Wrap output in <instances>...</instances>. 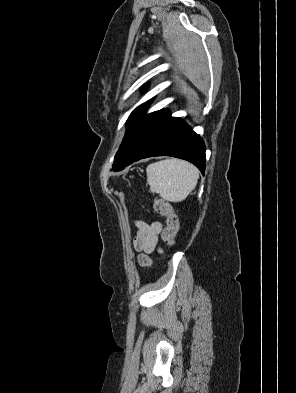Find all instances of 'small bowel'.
<instances>
[{"mask_svg":"<svg viewBox=\"0 0 296 393\" xmlns=\"http://www.w3.org/2000/svg\"><path fill=\"white\" fill-rule=\"evenodd\" d=\"M135 226L137 233L133 245L135 250L139 252V263L143 266H149L152 263L149 254L157 248L163 224L160 221L147 223L143 220H136Z\"/></svg>","mask_w":296,"mask_h":393,"instance_id":"obj_1","label":"small bowel"}]
</instances>
